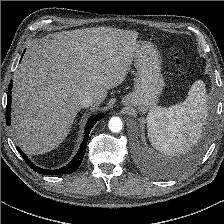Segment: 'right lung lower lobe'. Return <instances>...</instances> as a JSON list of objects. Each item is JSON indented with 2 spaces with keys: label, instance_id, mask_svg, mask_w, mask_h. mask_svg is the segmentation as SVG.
Returning <instances> with one entry per match:
<instances>
[{
  "label": "right lung lower lobe",
  "instance_id": "1",
  "mask_svg": "<svg viewBox=\"0 0 224 224\" xmlns=\"http://www.w3.org/2000/svg\"><path fill=\"white\" fill-rule=\"evenodd\" d=\"M13 83L12 81L9 84L8 87V93H7V107H6V124L9 126L11 124V89H12ZM101 118H103V115H96L89 119L86 125L85 129V137L80 145V148L75 155V157L64 167L56 170H47L42 169L36 165H34L25 155L24 152L21 151L20 148H17L18 152L21 154L23 159L26 161V163L36 172L44 175H61V174H69L78 169V167L81 165V162L83 160L84 154L86 152L87 147V141L89 137L90 130L95 125L97 121H99Z\"/></svg>",
  "mask_w": 224,
  "mask_h": 224
}]
</instances>
